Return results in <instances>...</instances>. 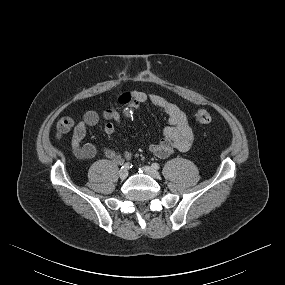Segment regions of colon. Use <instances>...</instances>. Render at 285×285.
Masks as SVG:
<instances>
[{"instance_id":"5ec220e1","label":"colon","mask_w":285,"mask_h":285,"mask_svg":"<svg viewBox=\"0 0 285 285\" xmlns=\"http://www.w3.org/2000/svg\"><path fill=\"white\" fill-rule=\"evenodd\" d=\"M193 120L199 124H208L211 122V115L207 110L199 109L192 115ZM73 126L71 118H63L57 124V132L59 135L68 133Z\"/></svg>"}]
</instances>
